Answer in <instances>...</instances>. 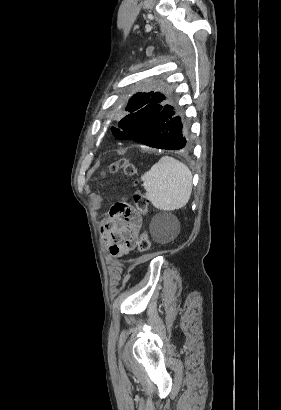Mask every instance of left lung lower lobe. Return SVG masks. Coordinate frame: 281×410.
I'll return each instance as SVG.
<instances>
[{
	"label": "left lung lower lobe",
	"mask_w": 281,
	"mask_h": 410,
	"mask_svg": "<svg viewBox=\"0 0 281 410\" xmlns=\"http://www.w3.org/2000/svg\"><path fill=\"white\" fill-rule=\"evenodd\" d=\"M118 139L134 140L150 147L188 151L191 139L187 125L168 104L164 92H156L147 105L127 115L118 124Z\"/></svg>",
	"instance_id": "0a47b994"
}]
</instances>
